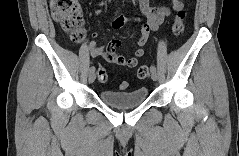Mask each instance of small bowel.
Wrapping results in <instances>:
<instances>
[{
    "label": "small bowel",
    "mask_w": 239,
    "mask_h": 156,
    "mask_svg": "<svg viewBox=\"0 0 239 156\" xmlns=\"http://www.w3.org/2000/svg\"><path fill=\"white\" fill-rule=\"evenodd\" d=\"M140 11L145 18L141 32L137 39L138 47L134 50L132 57H125L117 52L122 46L120 40H112L107 45H99L96 42L89 43L88 47L94 57H103L107 62L123 66L126 68H134L138 64V59L144 55L143 46L147 43L150 33L158 29L164 20L171 16L173 11L183 8L180 0H173L172 7L162 6L160 4L150 3L149 0H141L139 2ZM127 23L124 17H118L113 20L112 27L121 29Z\"/></svg>",
    "instance_id": "small-bowel-1"
}]
</instances>
